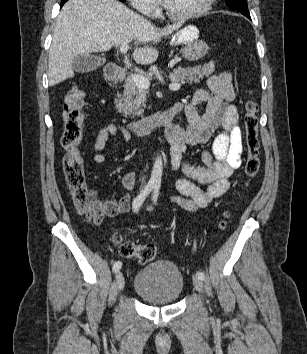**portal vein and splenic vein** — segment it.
I'll use <instances>...</instances> for the list:
<instances>
[{
  "mask_svg": "<svg viewBox=\"0 0 307 354\" xmlns=\"http://www.w3.org/2000/svg\"><path fill=\"white\" fill-rule=\"evenodd\" d=\"M129 49V46L128 44H122L120 46V53L121 54H125ZM133 76V80L135 82V84L141 88V89H148L150 87V81L148 78L142 76V75H139V74H134L132 75ZM169 88L173 91H177L181 88V85L179 83H176V82H172L170 85H169Z\"/></svg>",
  "mask_w": 307,
  "mask_h": 354,
  "instance_id": "obj_1",
  "label": "portal vein and splenic vein"
}]
</instances>
